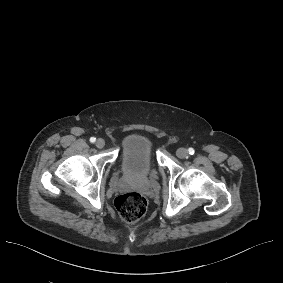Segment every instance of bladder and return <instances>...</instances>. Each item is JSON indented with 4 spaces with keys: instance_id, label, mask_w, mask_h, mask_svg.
<instances>
[{
    "instance_id": "obj_1",
    "label": "bladder",
    "mask_w": 283,
    "mask_h": 283,
    "mask_svg": "<svg viewBox=\"0 0 283 283\" xmlns=\"http://www.w3.org/2000/svg\"><path fill=\"white\" fill-rule=\"evenodd\" d=\"M152 157L150 140L134 134L125 140L121 166L130 176L144 177L152 168Z\"/></svg>"
}]
</instances>
